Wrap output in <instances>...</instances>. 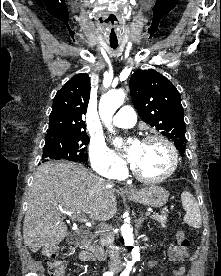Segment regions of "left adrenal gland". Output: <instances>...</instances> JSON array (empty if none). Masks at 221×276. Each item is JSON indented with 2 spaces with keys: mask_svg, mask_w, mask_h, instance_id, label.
I'll return each mask as SVG.
<instances>
[{
  "mask_svg": "<svg viewBox=\"0 0 221 276\" xmlns=\"http://www.w3.org/2000/svg\"><path fill=\"white\" fill-rule=\"evenodd\" d=\"M144 220H147V217H144V216H143V213H140V217H139L138 223H137L138 227H140V226L142 225V222H143Z\"/></svg>",
  "mask_w": 221,
  "mask_h": 276,
  "instance_id": "left-adrenal-gland-1",
  "label": "left adrenal gland"
}]
</instances>
